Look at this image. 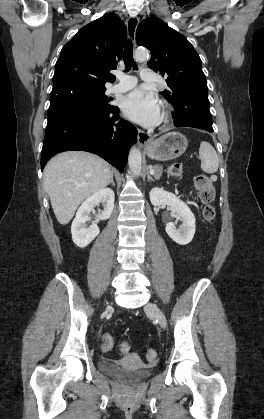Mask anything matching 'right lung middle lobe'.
Segmentation results:
<instances>
[{"instance_id": "obj_1", "label": "right lung middle lobe", "mask_w": 264, "mask_h": 419, "mask_svg": "<svg viewBox=\"0 0 264 419\" xmlns=\"http://www.w3.org/2000/svg\"><path fill=\"white\" fill-rule=\"evenodd\" d=\"M106 88H71L50 97L48 115L67 104H79L97 108H111V98L105 95Z\"/></svg>"}]
</instances>
